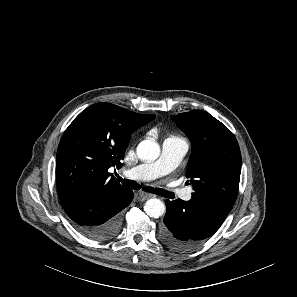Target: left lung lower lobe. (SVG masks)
<instances>
[{"label":"left lung lower lobe","mask_w":297,"mask_h":297,"mask_svg":"<svg viewBox=\"0 0 297 297\" xmlns=\"http://www.w3.org/2000/svg\"><path fill=\"white\" fill-rule=\"evenodd\" d=\"M233 204L191 199L166 200L161 239L176 250H190L212 236L221 226Z\"/></svg>","instance_id":"1"}]
</instances>
